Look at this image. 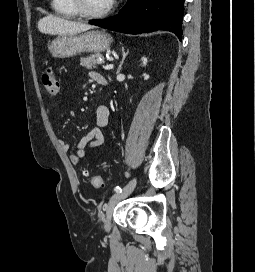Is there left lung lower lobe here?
<instances>
[{
	"mask_svg": "<svg viewBox=\"0 0 255 272\" xmlns=\"http://www.w3.org/2000/svg\"><path fill=\"white\" fill-rule=\"evenodd\" d=\"M184 1L128 0L117 15L89 23L128 34L166 30L173 32L181 40Z\"/></svg>",
	"mask_w": 255,
	"mask_h": 272,
	"instance_id": "1",
	"label": "left lung lower lobe"
}]
</instances>
